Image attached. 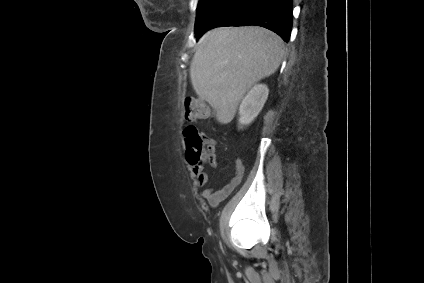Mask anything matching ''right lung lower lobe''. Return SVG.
I'll return each mask as SVG.
<instances>
[{
    "mask_svg": "<svg viewBox=\"0 0 424 283\" xmlns=\"http://www.w3.org/2000/svg\"><path fill=\"white\" fill-rule=\"evenodd\" d=\"M292 18V0H228L195 36L198 39L214 27L256 25L277 33L287 42Z\"/></svg>",
    "mask_w": 424,
    "mask_h": 283,
    "instance_id": "obj_1",
    "label": "right lung lower lobe"
}]
</instances>
